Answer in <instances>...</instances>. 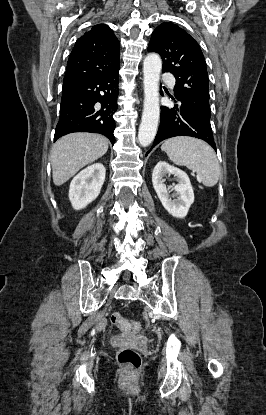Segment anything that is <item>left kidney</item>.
I'll list each match as a JSON object with an SVG mask.
<instances>
[{"instance_id":"1","label":"left kidney","mask_w":266,"mask_h":415,"mask_svg":"<svg viewBox=\"0 0 266 415\" xmlns=\"http://www.w3.org/2000/svg\"><path fill=\"white\" fill-rule=\"evenodd\" d=\"M174 175L177 184L174 187L176 192L172 199L169 195V188L164 184V176ZM153 187L160 199L163 207L176 218H184L194 202V191L188 175L181 169L169 165L165 161H160L154 167L152 173Z\"/></svg>"}]
</instances>
